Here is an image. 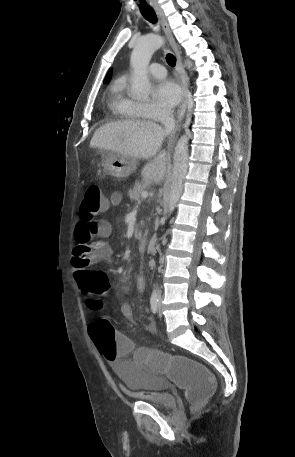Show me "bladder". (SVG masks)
Here are the masks:
<instances>
[{"label":"bladder","instance_id":"31cf9c89","mask_svg":"<svg viewBox=\"0 0 295 457\" xmlns=\"http://www.w3.org/2000/svg\"><path fill=\"white\" fill-rule=\"evenodd\" d=\"M112 369L127 390L161 406L163 411L175 410V398L166 390V378L161 374H145L140 366H123L122 362L112 363Z\"/></svg>","mask_w":295,"mask_h":457}]
</instances>
